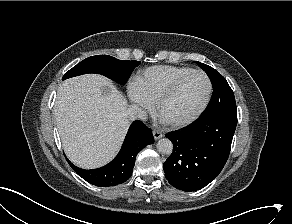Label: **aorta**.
<instances>
[{"label": "aorta", "instance_id": "762f6f07", "mask_svg": "<svg viewBox=\"0 0 292 224\" xmlns=\"http://www.w3.org/2000/svg\"><path fill=\"white\" fill-rule=\"evenodd\" d=\"M156 147H157L158 152H160L161 154H165V155H169L173 151V144H172L171 140H169L167 138L160 139L157 142Z\"/></svg>", "mask_w": 292, "mask_h": 224}]
</instances>
